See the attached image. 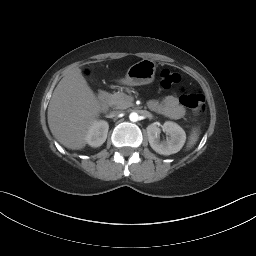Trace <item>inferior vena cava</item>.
Masks as SVG:
<instances>
[{
  "instance_id": "inferior-vena-cava-1",
  "label": "inferior vena cava",
  "mask_w": 256,
  "mask_h": 256,
  "mask_svg": "<svg viewBox=\"0 0 256 256\" xmlns=\"http://www.w3.org/2000/svg\"><path fill=\"white\" fill-rule=\"evenodd\" d=\"M120 113H121V111L115 110V111H112V112L110 113V115H111L112 117H115V116H118Z\"/></svg>"
}]
</instances>
